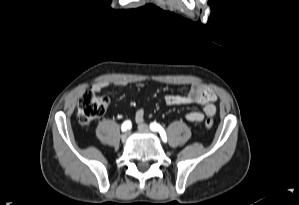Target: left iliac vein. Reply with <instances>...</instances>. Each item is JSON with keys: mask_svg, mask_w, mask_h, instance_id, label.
Instances as JSON below:
<instances>
[{"mask_svg": "<svg viewBox=\"0 0 299 205\" xmlns=\"http://www.w3.org/2000/svg\"><path fill=\"white\" fill-rule=\"evenodd\" d=\"M138 129L139 131L150 132L149 126L143 123L138 125Z\"/></svg>", "mask_w": 299, "mask_h": 205, "instance_id": "1", "label": "left iliac vein"}]
</instances>
